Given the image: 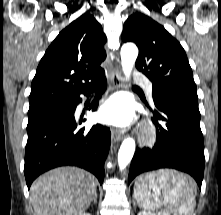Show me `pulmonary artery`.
I'll return each mask as SVG.
<instances>
[{"mask_svg": "<svg viewBox=\"0 0 221 215\" xmlns=\"http://www.w3.org/2000/svg\"><path fill=\"white\" fill-rule=\"evenodd\" d=\"M134 81L139 84H142L146 88L149 96L152 97V84L146 77L136 73L134 74Z\"/></svg>", "mask_w": 221, "mask_h": 215, "instance_id": "1", "label": "pulmonary artery"}]
</instances>
